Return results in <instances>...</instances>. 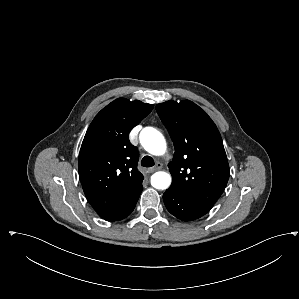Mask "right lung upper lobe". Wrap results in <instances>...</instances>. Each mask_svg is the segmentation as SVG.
I'll use <instances>...</instances> for the list:
<instances>
[{"label": "right lung upper lobe", "mask_w": 299, "mask_h": 299, "mask_svg": "<svg viewBox=\"0 0 299 299\" xmlns=\"http://www.w3.org/2000/svg\"><path fill=\"white\" fill-rule=\"evenodd\" d=\"M153 107L118 98L96 115L86 132L79 154V176L86 198L102 218L142 187L138 150L128 135Z\"/></svg>", "instance_id": "1"}]
</instances>
